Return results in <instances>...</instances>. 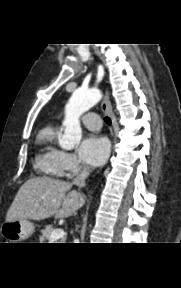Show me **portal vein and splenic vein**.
Segmentation results:
<instances>
[{
  "instance_id": "obj_1",
  "label": "portal vein and splenic vein",
  "mask_w": 181,
  "mask_h": 288,
  "mask_svg": "<svg viewBox=\"0 0 181 288\" xmlns=\"http://www.w3.org/2000/svg\"><path fill=\"white\" fill-rule=\"evenodd\" d=\"M64 236L63 229H56L51 233L50 241H56Z\"/></svg>"
}]
</instances>
